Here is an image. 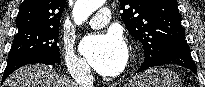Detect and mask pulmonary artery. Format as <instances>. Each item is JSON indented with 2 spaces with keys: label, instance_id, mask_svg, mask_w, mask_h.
<instances>
[{
  "label": "pulmonary artery",
  "instance_id": "pulmonary-artery-1",
  "mask_svg": "<svg viewBox=\"0 0 205 87\" xmlns=\"http://www.w3.org/2000/svg\"><path fill=\"white\" fill-rule=\"evenodd\" d=\"M112 14L108 8H101L90 18L88 24L94 29H99L111 21Z\"/></svg>",
  "mask_w": 205,
  "mask_h": 87
}]
</instances>
